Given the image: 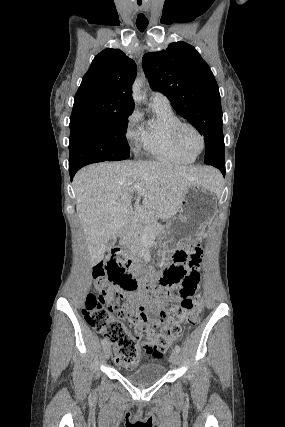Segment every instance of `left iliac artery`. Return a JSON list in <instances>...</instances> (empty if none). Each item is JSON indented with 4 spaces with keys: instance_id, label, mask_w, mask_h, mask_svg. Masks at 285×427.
<instances>
[{
    "instance_id": "obj_1",
    "label": "left iliac artery",
    "mask_w": 285,
    "mask_h": 427,
    "mask_svg": "<svg viewBox=\"0 0 285 427\" xmlns=\"http://www.w3.org/2000/svg\"><path fill=\"white\" fill-rule=\"evenodd\" d=\"M175 350H176L177 352H180V350H181V349H180L179 345H176V346H175Z\"/></svg>"
}]
</instances>
